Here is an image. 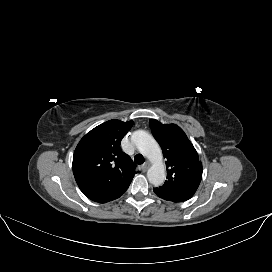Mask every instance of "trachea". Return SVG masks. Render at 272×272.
I'll return each instance as SVG.
<instances>
[{
    "label": "trachea",
    "instance_id": "obj_1",
    "mask_svg": "<svg viewBox=\"0 0 272 272\" xmlns=\"http://www.w3.org/2000/svg\"><path fill=\"white\" fill-rule=\"evenodd\" d=\"M144 157L141 155V154H136L135 156H134V162L136 163V164H143L144 163Z\"/></svg>",
    "mask_w": 272,
    "mask_h": 272
}]
</instances>
